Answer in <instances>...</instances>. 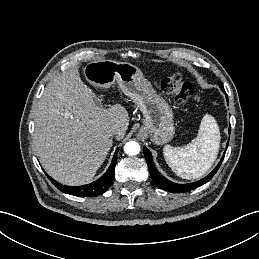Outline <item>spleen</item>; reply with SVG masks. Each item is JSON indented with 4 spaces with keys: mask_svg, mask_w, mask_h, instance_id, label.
Segmentation results:
<instances>
[{
    "mask_svg": "<svg viewBox=\"0 0 259 259\" xmlns=\"http://www.w3.org/2000/svg\"><path fill=\"white\" fill-rule=\"evenodd\" d=\"M220 139L215 118L206 114L201 120L197 137L182 147L165 145L164 158L177 176L184 179L200 178L217 158Z\"/></svg>",
    "mask_w": 259,
    "mask_h": 259,
    "instance_id": "1",
    "label": "spleen"
}]
</instances>
